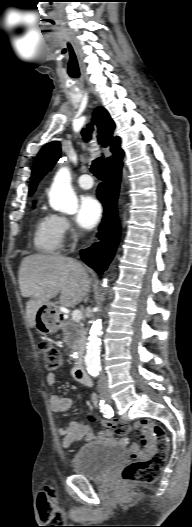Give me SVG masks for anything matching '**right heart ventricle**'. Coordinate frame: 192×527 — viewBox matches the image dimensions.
Here are the masks:
<instances>
[{
    "label": "right heart ventricle",
    "mask_w": 192,
    "mask_h": 527,
    "mask_svg": "<svg viewBox=\"0 0 192 527\" xmlns=\"http://www.w3.org/2000/svg\"><path fill=\"white\" fill-rule=\"evenodd\" d=\"M34 246L43 254H57L63 242L56 215L41 214L35 224Z\"/></svg>",
    "instance_id": "right-heart-ventricle-1"
}]
</instances>
